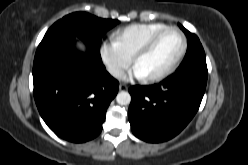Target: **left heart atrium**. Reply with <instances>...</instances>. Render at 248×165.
<instances>
[{"mask_svg":"<svg viewBox=\"0 0 248 165\" xmlns=\"http://www.w3.org/2000/svg\"><path fill=\"white\" fill-rule=\"evenodd\" d=\"M145 72L142 70V68L138 65H135L132 69V71L128 75V79L136 78V79H144L146 78Z\"/></svg>","mask_w":248,"mask_h":165,"instance_id":"1","label":"left heart atrium"}]
</instances>
